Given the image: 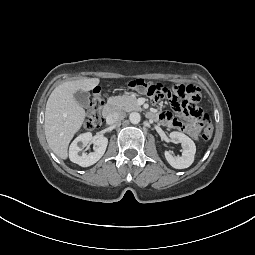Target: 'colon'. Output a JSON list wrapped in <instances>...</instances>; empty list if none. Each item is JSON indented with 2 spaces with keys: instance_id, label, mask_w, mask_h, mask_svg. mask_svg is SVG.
<instances>
[{
  "instance_id": "5ec220e1",
  "label": "colon",
  "mask_w": 255,
  "mask_h": 255,
  "mask_svg": "<svg viewBox=\"0 0 255 255\" xmlns=\"http://www.w3.org/2000/svg\"><path fill=\"white\" fill-rule=\"evenodd\" d=\"M130 89L139 91L151 97L153 100H158L164 97L169 98L178 113L199 120L204 125V131L201 136L193 135L194 138H202L209 140L213 134V127L210 123L209 116L198 106L200 98L199 89L191 85L176 84L172 87H167L161 84L147 82L143 78H136L129 82ZM104 99L99 88H96L87 110L85 127L94 129L99 127L103 122L102 109Z\"/></svg>"
}]
</instances>
